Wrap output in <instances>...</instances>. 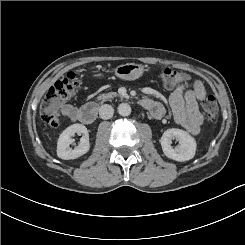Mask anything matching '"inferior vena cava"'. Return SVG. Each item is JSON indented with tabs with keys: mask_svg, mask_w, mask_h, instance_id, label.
<instances>
[{
	"mask_svg": "<svg viewBox=\"0 0 245 245\" xmlns=\"http://www.w3.org/2000/svg\"><path fill=\"white\" fill-rule=\"evenodd\" d=\"M113 114H114V109L111 105L104 104L99 109V115L104 120L112 118Z\"/></svg>",
	"mask_w": 245,
	"mask_h": 245,
	"instance_id": "1",
	"label": "inferior vena cava"
}]
</instances>
